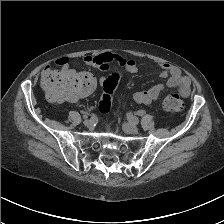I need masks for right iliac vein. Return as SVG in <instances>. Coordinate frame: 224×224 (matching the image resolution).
<instances>
[{"mask_svg": "<svg viewBox=\"0 0 224 224\" xmlns=\"http://www.w3.org/2000/svg\"><path fill=\"white\" fill-rule=\"evenodd\" d=\"M84 125L88 128H92L93 127V122L91 120H85Z\"/></svg>", "mask_w": 224, "mask_h": 224, "instance_id": "1", "label": "right iliac vein"}]
</instances>
